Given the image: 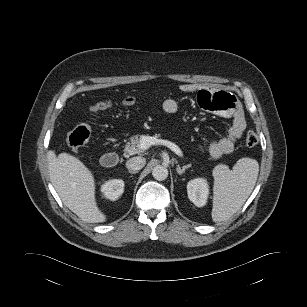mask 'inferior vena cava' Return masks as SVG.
<instances>
[{
	"instance_id": "602c4592",
	"label": "inferior vena cava",
	"mask_w": 307,
	"mask_h": 307,
	"mask_svg": "<svg viewBox=\"0 0 307 307\" xmlns=\"http://www.w3.org/2000/svg\"><path fill=\"white\" fill-rule=\"evenodd\" d=\"M146 164V159L143 157H132L126 162V167L129 170L137 171L142 169Z\"/></svg>"
}]
</instances>
